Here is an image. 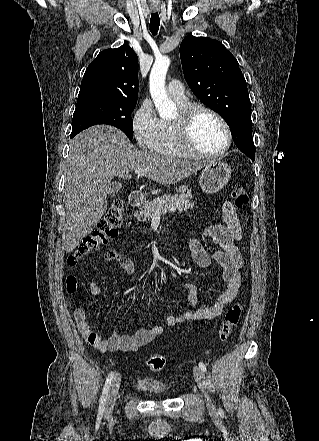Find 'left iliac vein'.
Returning <instances> with one entry per match:
<instances>
[{
  "label": "left iliac vein",
  "mask_w": 319,
  "mask_h": 441,
  "mask_svg": "<svg viewBox=\"0 0 319 441\" xmlns=\"http://www.w3.org/2000/svg\"><path fill=\"white\" fill-rule=\"evenodd\" d=\"M193 372H194V377L195 380L199 386V388L202 390V392L204 393L205 399H206V404L207 407L210 411L214 412L215 411V407L210 399V396L208 394L207 391V383H206V377L204 372L201 370L200 367L195 366L193 368Z\"/></svg>",
  "instance_id": "obj_1"
}]
</instances>
